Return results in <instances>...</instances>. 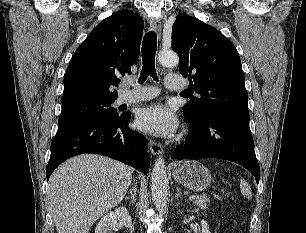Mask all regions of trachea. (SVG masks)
Returning a JSON list of instances; mask_svg holds the SVG:
<instances>
[{"mask_svg": "<svg viewBox=\"0 0 306 233\" xmlns=\"http://www.w3.org/2000/svg\"><path fill=\"white\" fill-rule=\"evenodd\" d=\"M141 50L143 67L138 82L143 83L149 75L154 80H158L155 69V54L157 50V36L155 32L150 31L145 34Z\"/></svg>", "mask_w": 306, "mask_h": 233, "instance_id": "trachea-1", "label": "trachea"}]
</instances>
